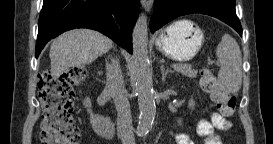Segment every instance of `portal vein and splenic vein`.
<instances>
[{
	"label": "portal vein and splenic vein",
	"instance_id": "portal-vein-and-splenic-vein-1",
	"mask_svg": "<svg viewBox=\"0 0 273 144\" xmlns=\"http://www.w3.org/2000/svg\"><path fill=\"white\" fill-rule=\"evenodd\" d=\"M172 67L175 69L184 68V67L191 68L190 65H182V64H172Z\"/></svg>",
	"mask_w": 273,
	"mask_h": 144
}]
</instances>
